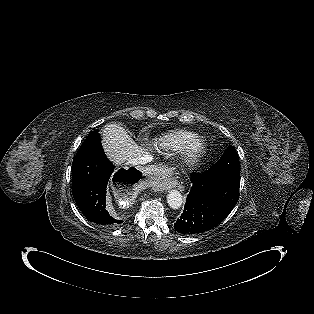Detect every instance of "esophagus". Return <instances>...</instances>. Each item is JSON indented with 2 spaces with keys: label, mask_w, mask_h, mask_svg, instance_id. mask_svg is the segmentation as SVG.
<instances>
[{
  "label": "esophagus",
  "mask_w": 314,
  "mask_h": 314,
  "mask_svg": "<svg viewBox=\"0 0 314 314\" xmlns=\"http://www.w3.org/2000/svg\"><path fill=\"white\" fill-rule=\"evenodd\" d=\"M159 175H163V174L160 172ZM165 186H166V189H168V188H170L171 185L166 182V183H165ZM179 187H180V186H179Z\"/></svg>",
  "instance_id": "esophagus-1"
}]
</instances>
